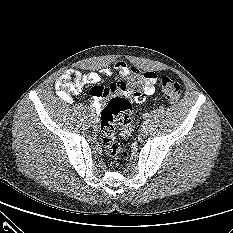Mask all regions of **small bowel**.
Here are the masks:
<instances>
[{
  "instance_id": "c3829d8e",
  "label": "small bowel",
  "mask_w": 233,
  "mask_h": 233,
  "mask_svg": "<svg viewBox=\"0 0 233 233\" xmlns=\"http://www.w3.org/2000/svg\"><path fill=\"white\" fill-rule=\"evenodd\" d=\"M132 69L135 68H130L123 61H117L112 67L102 69L101 73L107 77H111L113 71H117L121 77V80L112 82L108 86L98 85L102 79L99 72L92 71L83 74L79 71L68 70L57 79L55 88L58 96L62 100L71 103L74 97L78 95L86 85H95L90 91V102L96 109H100L104 99L115 94H124L132 98L135 102H141L144 95H152L154 93L156 74L152 71L144 72L146 78L141 88V95L139 97H134L129 92L128 87Z\"/></svg>"
}]
</instances>
